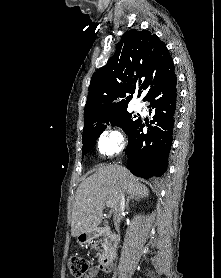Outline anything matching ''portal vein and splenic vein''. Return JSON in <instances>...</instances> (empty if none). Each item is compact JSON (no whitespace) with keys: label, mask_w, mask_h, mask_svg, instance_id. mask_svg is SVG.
I'll return each instance as SVG.
<instances>
[{"label":"portal vein and splenic vein","mask_w":221,"mask_h":278,"mask_svg":"<svg viewBox=\"0 0 221 278\" xmlns=\"http://www.w3.org/2000/svg\"><path fill=\"white\" fill-rule=\"evenodd\" d=\"M106 205L109 206V205H110V202H107Z\"/></svg>","instance_id":"1"}]
</instances>
